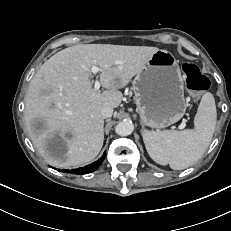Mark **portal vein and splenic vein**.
<instances>
[{
	"mask_svg": "<svg viewBox=\"0 0 231 231\" xmlns=\"http://www.w3.org/2000/svg\"><path fill=\"white\" fill-rule=\"evenodd\" d=\"M99 71H101V69L99 67L92 66L91 72H92L93 75H96ZM99 88H100V82H99V80H95L94 89L99 90Z\"/></svg>",
	"mask_w": 231,
	"mask_h": 231,
	"instance_id": "1",
	"label": "portal vein and splenic vein"
}]
</instances>
